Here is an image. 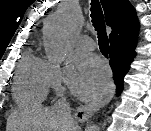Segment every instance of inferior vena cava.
Wrapping results in <instances>:
<instances>
[{
	"label": "inferior vena cava",
	"instance_id": "602c4592",
	"mask_svg": "<svg viewBox=\"0 0 151 131\" xmlns=\"http://www.w3.org/2000/svg\"><path fill=\"white\" fill-rule=\"evenodd\" d=\"M54 106L59 108L64 113L65 120L70 124L71 128H73L71 130H74L75 123L70 115V106L66 99L62 97L55 103Z\"/></svg>",
	"mask_w": 151,
	"mask_h": 131
}]
</instances>
